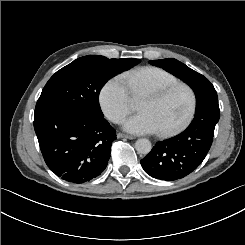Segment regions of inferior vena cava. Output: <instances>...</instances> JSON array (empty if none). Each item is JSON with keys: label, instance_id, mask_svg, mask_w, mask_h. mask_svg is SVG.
<instances>
[{"label": "inferior vena cava", "instance_id": "1", "mask_svg": "<svg viewBox=\"0 0 245 245\" xmlns=\"http://www.w3.org/2000/svg\"><path fill=\"white\" fill-rule=\"evenodd\" d=\"M125 121V117L124 116H119L118 117V123H123Z\"/></svg>", "mask_w": 245, "mask_h": 245}]
</instances>
